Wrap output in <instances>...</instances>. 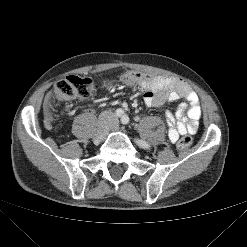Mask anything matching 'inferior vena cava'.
Returning a JSON list of instances; mask_svg holds the SVG:
<instances>
[{
  "instance_id": "1",
  "label": "inferior vena cava",
  "mask_w": 247,
  "mask_h": 247,
  "mask_svg": "<svg viewBox=\"0 0 247 247\" xmlns=\"http://www.w3.org/2000/svg\"><path fill=\"white\" fill-rule=\"evenodd\" d=\"M105 115H108V117H110L111 119L115 118V115L111 111H106L102 113V116H105Z\"/></svg>"
}]
</instances>
